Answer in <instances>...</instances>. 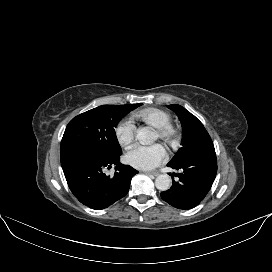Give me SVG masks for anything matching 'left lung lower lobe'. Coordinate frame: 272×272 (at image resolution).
I'll return each mask as SVG.
<instances>
[{
    "label": "left lung lower lobe",
    "mask_w": 272,
    "mask_h": 272,
    "mask_svg": "<svg viewBox=\"0 0 272 272\" xmlns=\"http://www.w3.org/2000/svg\"><path fill=\"white\" fill-rule=\"evenodd\" d=\"M183 172L176 174L172 187L161 193L164 201L178 209L188 210L197 206L209 192L217 173L215 149H207L185 158L177 164H168ZM174 176V174H172Z\"/></svg>",
    "instance_id": "1"
}]
</instances>
